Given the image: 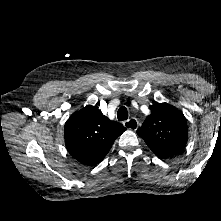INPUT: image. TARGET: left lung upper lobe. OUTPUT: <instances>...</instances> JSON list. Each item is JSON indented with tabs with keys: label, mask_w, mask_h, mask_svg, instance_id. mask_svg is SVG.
I'll list each match as a JSON object with an SVG mask.
<instances>
[{
	"label": "left lung upper lobe",
	"mask_w": 221,
	"mask_h": 221,
	"mask_svg": "<svg viewBox=\"0 0 221 221\" xmlns=\"http://www.w3.org/2000/svg\"><path fill=\"white\" fill-rule=\"evenodd\" d=\"M150 110L137 134L157 156L181 152L188 137L183 113L167 103H155Z\"/></svg>",
	"instance_id": "obj_1"
}]
</instances>
